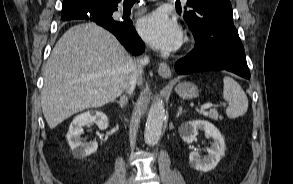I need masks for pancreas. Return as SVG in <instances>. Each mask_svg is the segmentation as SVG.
Returning a JSON list of instances; mask_svg holds the SVG:
<instances>
[{"label": "pancreas", "instance_id": "obj_1", "mask_svg": "<svg viewBox=\"0 0 293 184\" xmlns=\"http://www.w3.org/2000/svg\"><path fill=\"white\" fill-rule=\"evenodd\" d=\"M203 115L207 116V117H209V118H211L213 120H218V118L222 119V117L219 116V114H218L216 109H211V110H209L207 112H204Z\"/></svg>", "mask_w": 293, "mask_h": 184}]
</instances>
